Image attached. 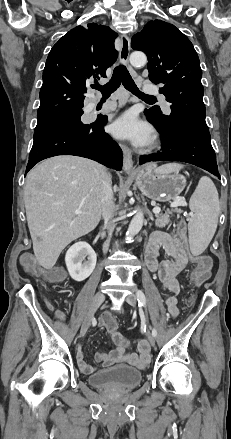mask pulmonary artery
<instances>
[{
  "mask_svg": "<svg viewBox=\"0 0 231 439\" xmlns=\"http://www.w3.org/2000/svg\"><path fill=\"white\" fill-rule=\"evenodd\" d=\"M145 91L149 94H158V89L152 84H146L144 87ZM161 103L166 114H170L171 109L169 103L165 100L163 96H161ZM96 103L92 104V107L95 106Z\"/></svg>",
  "mask_w": 231,
  "mask_h": 439,
  "instance_id": "pulmonary-artery-1",
  "label": "pulmonary artery"
}]
</instances>
